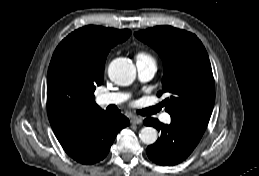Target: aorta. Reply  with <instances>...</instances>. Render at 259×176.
Returning <instances> with one entry per match:
<instances>
[{
	"instance_id": "1",
	"label": "aorta",
	"mask_w": 259,
	"mask_h": 176,
	"mask_svg": "<svg viewBox=\"0 0 259 176\" xmlns=\"http://www.w3.org/2000/svg\"><path fill=\"white\" fill-rule=\"evenodd\" d=\"M108 76L118 85H130L136 77V67L127 58H116L109 64ZM139 137L144 144L151 145L156 142L158 132L153 127H143L139 133Z\"/></svg>"
}]
</instances>
